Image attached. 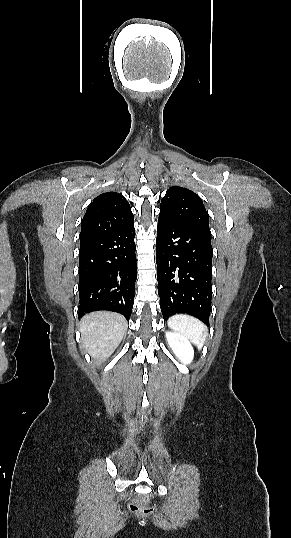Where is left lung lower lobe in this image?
<instances>
[{"instance_id": "obj_1", "label": "left lung lower lobe", "mask_w": 291, "mask_h": 538, "mask_svg": "<svg viewBox=\"0 0 291 538\" xmlns=\"http://www.w3.org/2000/svg\"><path fill=\"white\" fill-rule=\"evenodd\" d=\"M212 257L210 229L159 213L156 264L164 320L187 313L209 325Z\"/></svg>"}]
</instances>
